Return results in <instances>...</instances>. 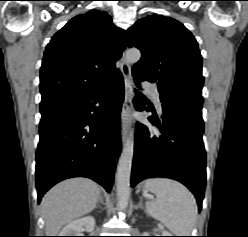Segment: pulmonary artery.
<instances>
[{"label": "pulmonary artery", "instance_id": "obj_1", "mask_svg": "<svg viewBox=\"0 0 248 237\" xmlns=\"http://www.w3.org/2000/svg\"><path fill=\"white\" fill-rule=\"evenodd\" d=\"M143 87H144L145 89H147V90L153 92V94H154L155 96H157V93H156L155 88H154L150 83L144 82V83H143ZM155 104H156L157 109H158L159 111H161V103H160V101H159L158 99L155 101Z\"/></svg>", "mask_w": 248, "mask_h": 237}]
</instances>
